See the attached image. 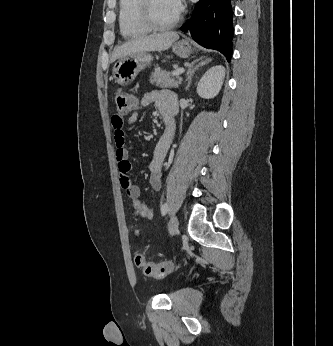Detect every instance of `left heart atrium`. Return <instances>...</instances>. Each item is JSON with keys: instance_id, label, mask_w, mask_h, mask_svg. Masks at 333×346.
Segmentation results:
<instances>
[{"instance_id": "obj_1", "label": "left heart atrium", "mask_w": 333, "mask_h": 346, "mask_svg": "<svg viewBox=\"0 0 333 346\" xmlns=\"http://www.w3.org/2000/svg\"><path fill=\"white\" fill-rule=\"evenodd\" d=\"M172 6L177 10V12L181 9L182 0H169Z\"/></svg>"}]
</instances>
